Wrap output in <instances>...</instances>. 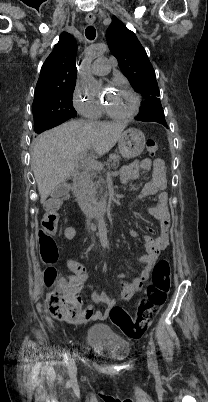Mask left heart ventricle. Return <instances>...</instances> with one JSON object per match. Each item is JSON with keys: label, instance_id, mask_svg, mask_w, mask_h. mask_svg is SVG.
<instances>
[{"label": "left heart ventricle", "instance_id": "1", "mask_svg": "<svg viewBox=\"0 0 208 402\" xmlns=\"http://www.w3.org/2000/svg\"><path fill=\"white\" fill-rule=\"evenodd\" d=\"M99 86L96 89L95 95L98 96ZM105 100L109 103L113 110L118 113H129L135 106V100L131 94L123 90H118L117 93L109 97H105Z\"/></svg>", "mask_w": 208, "mask_h": 402}]
</instances>
